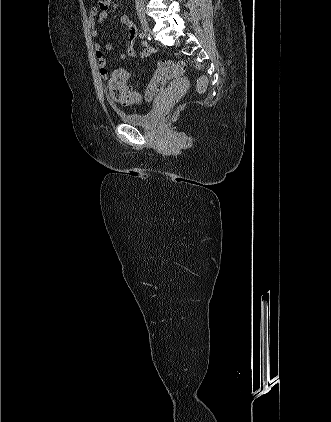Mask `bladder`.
Here are the masks:
<instances>
[{"label": "bladder", "instance_id": "31cf9c89", "mask_svg": "<svg viewBox=\"0 0 331 422\" xmlns=\"http://www.w3.org/2000/svg\"><path fill=\"white\" fill-rule=\"evenodd\" d=\"M161 98H157L151 109L145 112L139 111H119L120 118L127 124L144 128L152 127L156 124L159 115V104Z\"/></svg>", "mask_w": 331, "mask_h": 422}]
</instances>
